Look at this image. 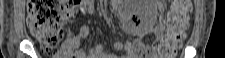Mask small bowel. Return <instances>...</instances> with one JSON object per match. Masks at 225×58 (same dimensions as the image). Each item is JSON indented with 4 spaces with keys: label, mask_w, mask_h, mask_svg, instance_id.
<instances>
[{
    "label": "small bowel",
    "mask_w": 225,
    "mask_h": 58,
    "mask_svg": "<svg viewBox=\"0 0 225 58\" xmlns=\"http://www.w3.org/2000/svg\"><path fill=\"white\" fill-rule=\"evenodd\" d=\"M155 6L159 9H163V3L160 1L154 2ZM83 9L87 13H92L93 11V2L92 1H85L83 3ZM162 31V24L158 23L154 26H150L145 30L146 33H152L155 36H158ZM90 29L87 24L81 25L79 29L78 36L68 40L65 46L74 51L72 58H136L137 53L140 47L144 46L142 38H138L134 42H121L115 41L114 42V49L116 51H123L121 56H117L114 54H108L104 52L103 47L101 45H97L95 48L91 49L89 53L84 52L83 50L78 49L81 40L86 38L89 35ZM63 58V57H59Z\"/></svg>",
    "instance_id": "small-bowel-1"
}]
</instances>
